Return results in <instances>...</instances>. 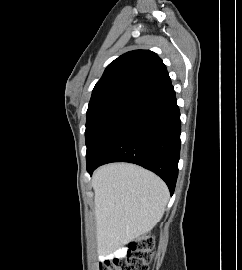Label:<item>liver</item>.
I'll return each mask as SVG.
<instances>
[{
    "label": "liver",
    "instance_id": "1",
    "mask_svg": "<svg viewBox=\"0 0 242 270\" xmlns=\"http://www.w3.org/2000/svg\"><path fill=\"white\" fill-rule=\"evenodd\" d=\"M92 186L97 242L102 250L113 251L151 231L169 199L168 188L158 176L128 163L98 168Z\"/></svg>",
    "mask_w": 242,
    "mask_h": 270
}]
</instances>
